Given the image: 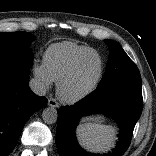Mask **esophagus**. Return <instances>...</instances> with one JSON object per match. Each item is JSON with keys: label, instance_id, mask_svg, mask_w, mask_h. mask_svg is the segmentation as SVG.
Masks as SVG:
<instances>
[{"label": "esophagus", "instance_id": "34e87169", "mask_svg": "<svg viewBox=\"0 0 156 156\" xmlns=\"http://www.w3.org/2000/svg\"><path fill=\"white\" fill-rule=\"evenodd\" d=\"M48 105L50 107H53V108H58L59 107L56 99H54V98L48 99Z\"/></svg>", "mask_w": 156, "mask_h": 156}]
</instances>
